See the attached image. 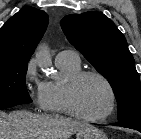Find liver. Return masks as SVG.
I'll return each mask as SVG.
<instances>
[{
    "label": "liver",
    "instance_id": "liver-1",
    "mask_svg": "<svg viewBox=\"0 0 141 139\" xmlns=\"http://www.w3.org/2000/svg\"><path fill=\"white\" fill-rule=\"evenodd\" d=\"M86 126L89 124L61 115L0 111V139H69Z\"/></svg>",
    "mask_w": 141,
    "mask_h": 139
}]
</instances>
